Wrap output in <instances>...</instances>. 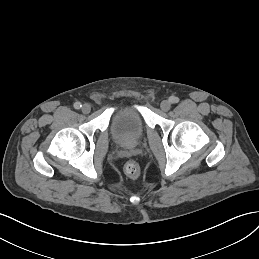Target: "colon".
<instances>
[{"label":"colon","mask_w":259,"mask_h":259,"mask_svg":"<svg viewBox=\"0 0 259 259\" xmlns=\"http://www.w3.org/2000/svg\"><path fill=\"white\" fill-rule=\"evenodd\" d=\"M124 171L132 179H137L141 172L139 164L134 160H130L125 164Z\"/></svg>","instance_id":"5ec220e1"}]
</instances>
